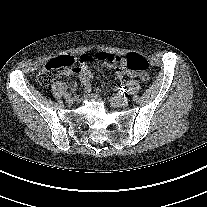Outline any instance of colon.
Segmentation results:
<instances>
[{"mask_svg":"<svg viewBox=\"0 0 207 207\" xmlns=\"http://www.w3.org/2000/svg\"><path fill=\"white\" fill-rule=\"evenodd\" d=\"M100 61L105 63H115L120 61V58L114 54L109 53H94L86 54L76 59L70 55H62L49 61L44 68L37 75V83L46 87L51 84L54 78V71L58 69H69L74 71L78 63ZM125 66L133 72L145 73L149 68L147 59L139 54L130 53L125 59Z\"/></svg>","mask_w":207,"mask_h":207,"instance_id":"5ec220e1","label":"colon"}]
</instances>
